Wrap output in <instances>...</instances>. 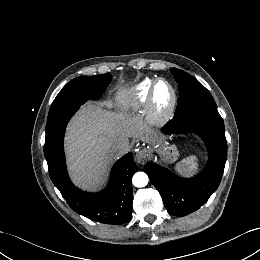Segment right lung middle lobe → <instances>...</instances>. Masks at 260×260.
I'll list each match as a JSON object with an SVG mask.
<instances>
[{"label": "right lung middle lobe", "instance_id": "dd1d6c3e", "mask_svg": "<svg viewBox=\"0 0 260 260\" xmlns=\"http://www.w3.org/2000/svg\"><path fill=\"white\" fill-rule=\"evenodd\" d=\"M111 81L110 74L81 76L71 80L53 101L46 125V139L52 140L86 100L100 96Z\"/></svg>", "mask_w": 260, "mask_h": 260}]
</instances>
